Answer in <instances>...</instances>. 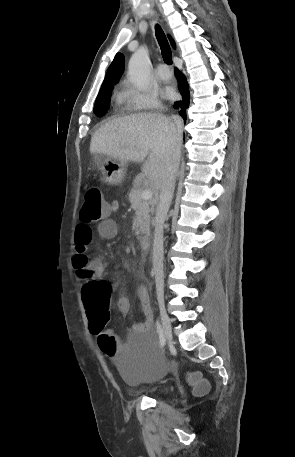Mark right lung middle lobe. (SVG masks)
<instances>
[{"instance_id":"dd1d6c3e","label":"right lung middle lobe","mask_w":295,"mask_h":457,"mask_svg":"<svg viewBox=\"0 0 295 457\" xmlns=\"http://www.w3.org/2000/svg\"><path fill=\"white\" fill-rule=\"evenodd\" d=\"M112 89L113 87L100 89L94 105V113L97 116H103L109 109Z\"/></svg>"}]
</instances>
